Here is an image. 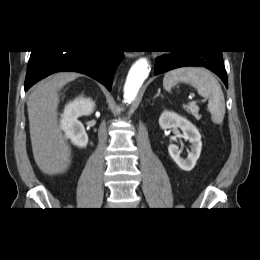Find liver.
Instances as JSON below:
<instances>
[{
  "mask_svg": "<svg viewBox=\"0 0 260 260\" xmlns=\"http://www.w3.org/2000/svg\"><path fill=\"white\" fill-rule=\"evenodd\" d=\"M79 76L73 72L56 73L39 83L28 99L32 151L45 174L64 173L71 163V149L58 127V90Z\"/></svg>",
  "mask_w": 260,
  "mask_h": 260,
  "instance_id": "6515ba94",
  "label": "liver"
}]
</instances>
